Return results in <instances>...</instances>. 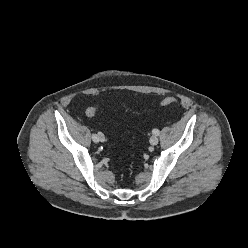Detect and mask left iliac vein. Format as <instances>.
<instances>
[{
    "mask_svg": "<svg viewBox=\"0 0 248 248\" xmlns=\"http://www.w3.org/2000/svg\"><path fill=\"white\" fill-rule=\"evenodd\" d=\"M149 141H150V144L154 146V145L158 144L159 139L157 136L153 135V136H151Z\"/></svg>",
    "mask_w": 248,
    "mask_h": 248,
    "instance_id": "1",
    "label": "left iliac vein"
}]
</instances>
